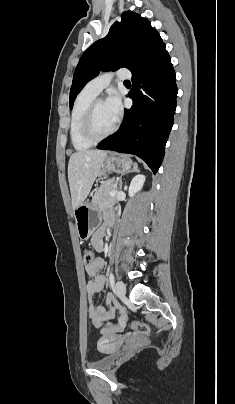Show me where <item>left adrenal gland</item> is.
I'll list each match as a JSON object with an SVG mask.
<instances>
[{"mask_svg": "<svg viewBox=\"0 0 235 404\" xmlns=\"http://www.w3.org/2000/svg\"><path fill=\"white\" fill-rule=\"evenodd\" d=\"M130 172H139L138 166L137 165L134 166L133 169L131 171H129L128 173H130ZM119 186H120V188H122V177H120Z\"/></svg>", "mask_w": 235, "mask_h": 404, "instance_id": "1", "label": "left adrenal gland"}]
</instances>
